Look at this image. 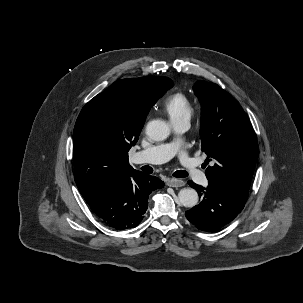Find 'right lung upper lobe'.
Listing matches in <instances>:
<instances>
[{
  "mask_svg": "<svg viewBox=\"0 0 303 303\" xmlns=\"http://www.w3.org/2000/svg\"><path fill=\"white\" fill-rule=\"evenodd\" d=\"M172 86L169 78L160 76L122 79L83 107L73 132V163L86 202L135 171L128 151L137 142L151 106Z\"/></svg>",
  "mask_w": 303,
  "mask_h": 303,
  "instance_id": "1",
  "label": "right lung upper lobe"
}]
</instances>
